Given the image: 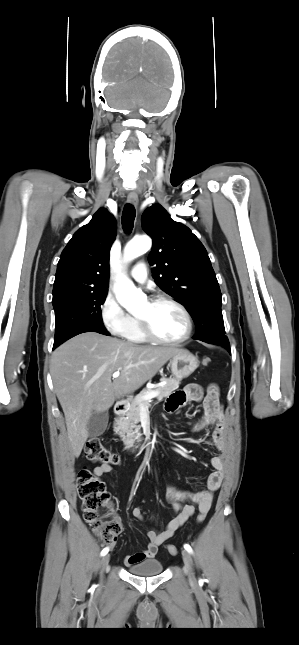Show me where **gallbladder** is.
Returning a JSON list of instances; mask_svg holds the SVG:
<instances>
[{
	"label": "gallbladder",
	"mask_w": 299,
	"mask_h": 645,
	"mask_svg": "<svg viewBox=\"0 0 299 645\" xmlns=\"http://www.w3.org/2000/svg\"><path fill=\"white\" fill-rule=\"evenodd\" d=\"M109 414L108 411L94 412L89 419L87 429L90 437H97L102 435L108 425Z\"/></svg>",
	"instance_id": "1"
}]
</instances>
